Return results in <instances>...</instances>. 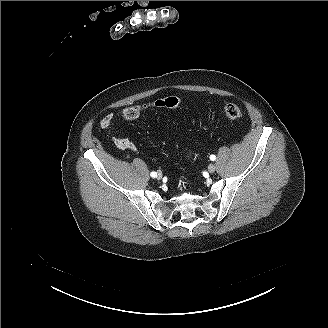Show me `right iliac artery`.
<instances>
[{
    "instance_id": "1",
    "label": "right iliac artery",
    "mask_w": 328,
    "mask_h": 328,
    "mask_svg": "<svg viewBox=\"0 0 328 328\" xmlns=\"http://www.w3.org/2000/svg\"><path fill=\"white\" fill-rule=\"evenodd\" d=\"M151 177L155 178L157 176V173L156 172H151Z\"/></svg>"
}]
</instances>
